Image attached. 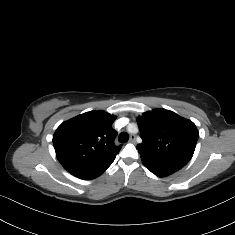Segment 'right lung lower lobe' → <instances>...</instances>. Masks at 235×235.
Returning a JSON list of instances; mask_svg holds the SVG:
<instances>
[{
  "label": "right lung lower lobe",
  "instance_id": "98d812e1",
  "mask_svg": "<svg viewBox=\"0 0 235 235\" xmlns=\"http://www.w3.org/2000/svg\"><path fill=\"white\" fill-rule=\"evenodd\" d=\"M98 176H100V175L93 176V177H78V178L84 179V180H90V179H94V178H96V177H98Z\"/></svg>",
  "mask_w": 235,
  "mask_h": 235
}]
</instances>
